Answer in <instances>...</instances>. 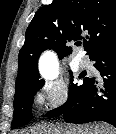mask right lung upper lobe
Returning <instances> with one entry per match:
<instances>
[{"instance_id":"obj_1","label":"right lung upper lobe","mask_w":116,"mask_h":134,"mask_svg":"<svg viewBox=\"0 0 116 134\" xmlns=\"http://www.w3.org/2000/svg\"><path fill=\"white\" fill-rule=\"evenodd\" d=\"M80 39L90 58L116 41V1L53 0L38 10L19 52L15 95L40 81L38 58L44 50L53 49L62 59L72 52L68 43Z\"/></svg>"}]
</instances>
